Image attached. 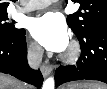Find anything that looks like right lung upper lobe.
Here are the masks:
<instances>
[{
	"mask_svg": "<svg viewBox=\"0 0 107 89\" xmlns=\"http://www.w3.org/2000/svg\"><path fill=\"white\" fill-rule=\"evenodd\" d=\"M9 0H2L0 3V14L7 12V7L9 5ZM14 1V0H13Z\"/></svg>",
	"mask_w": 107,
	"mask_h": 89,
	"instance_id": "cb5924a9",
	"label": "right lung upper lobe"
}]
</instances>
